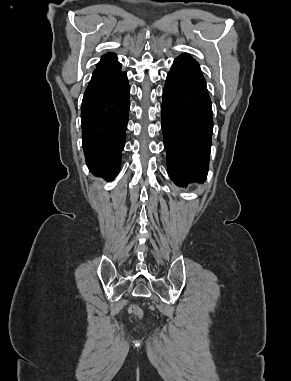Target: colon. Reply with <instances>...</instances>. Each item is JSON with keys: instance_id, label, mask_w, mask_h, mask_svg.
<instances>
[{"instance_id": "5ec220e1", "label": "colon", "mask_w": 291, "mask_h": 381, "mask_svg": "<svg viewBox=\"0 0 291 381\" xmlns=\"http://www.w3.org/2000/svg\"><path fill=\"white\" fill-rule=\"evenodd\" d=\"M130 312L134 315H136L137 317H142V311L140 308H138L137 306H132L130 308Z\"/></svg>"}]
</instances>
